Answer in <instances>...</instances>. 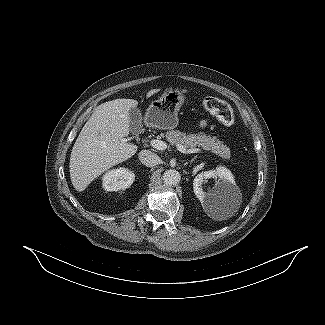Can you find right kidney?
<instances>
[{"mask_svg":"<svg viewBox=\"0 0 325 325\" xmlns=\"http://www.w3.org/2000/svg\"><path fill=\"white\" fill-rule=\"evenodd\" d=\"M135 180V174L120 167L107 171L102 177V186L106 191H118L129 188Z\"/></svg>","mask_w":325,"mask_h":325,"instance_id":"right-kidney-1","label":"right kidney"}]
</instances>
